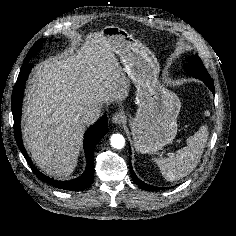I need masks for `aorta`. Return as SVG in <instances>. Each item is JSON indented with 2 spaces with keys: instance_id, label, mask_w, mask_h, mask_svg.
Segmentation results:
<instances>
[{
  "instance_id": "obj_1",
  "label": "aorta",
  "mask_w": 236,
  "mask_h": 236,
  "mask_svg": "<svg viewBox=\"0 0 236 236\" xmlns=\"http://www.w3.org/2000/svg\"><path fill=\"white\" fill-rule=\"evenodd\" d=\"M110 144L116 149H122L125 145V139L121 134H113L110 138Z\"/></svg>"
}]
</instances>
